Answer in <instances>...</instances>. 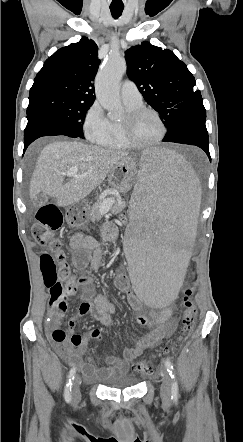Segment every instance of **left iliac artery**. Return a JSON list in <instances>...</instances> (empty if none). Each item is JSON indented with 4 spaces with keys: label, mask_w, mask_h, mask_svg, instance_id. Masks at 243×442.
Masks as SVG:
<instances>
[{
    "label": "left iliac artery",
    "mask_w": 243,
    "mask_h": 442,
    "mask_svg": "<svg viewBox=\"0 0 243 442\" xmlns=\"http://www.w3.org/2000/svg\"><path fill=\"white\" fill-rule=\"evenodd\" d=\"M164 363H165V367H166L167 371L169 372V375L171 376V378L173 380L172 387H171L172 398L177 399V397H178V383H177L174 367L169 360H165Z\"/></svg>",
    "instance_id": "left-iliac-artery-1"
}]
</instances>
